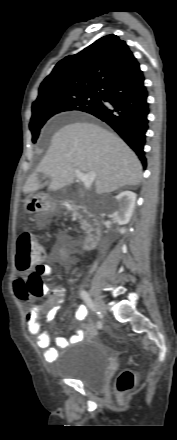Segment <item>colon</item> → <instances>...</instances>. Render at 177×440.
<instances>
[{
	"instance_id": "colon-1",
	"label": "colon",
	"mask_w": 177,
	"mask_h": 440,
	"mask_svg": "<svg viewBox=\"0 0 177 440\" xmlns=\"http://www.w3.org/2000/svg\"><path fill=\"white\" fill-rule=\"evenodd\" d=\"M45 257V248L35 241L32 233L27 232L20 235L17 240L16 267L22 272L35 269L27 283L29 292L35 297H40L46 292L42 278L46 270ZM133 385V372L129 369L122 371L116 382V392L119 400L123 399L124 394L130 391Z\"/></svg>"
}]
</instances>
